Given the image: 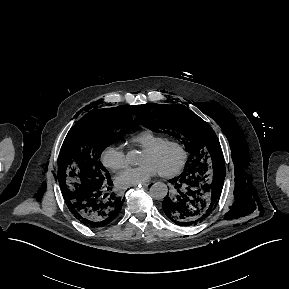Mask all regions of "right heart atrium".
<instances>
[{
	"label": "right heart atrium",
	"mask_w": 289,
	"mask_h": 289,
	"mask_svg": "<svg viewBox=\"0 0 289 289\" xmlns=\"http://www.w3.org/2000/svg\"><path fill=\"white\" fill-rule=\"evenodd\" d=\"M102 164L110 170H120L127 164L126 153L116 144H110L101 152Z\"/></svg>",
	"instance_id": "obj_1"
}]
</instances>
